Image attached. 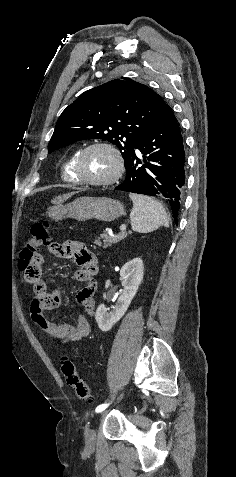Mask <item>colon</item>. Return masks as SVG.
<instances>
[{
    "label": "colon",
    "mask_w": 236,
    "mask_h": 477,
    "mask_svg": "<svg viewBox=\"0 0 236 477\" xmlns=\"http://www.w3.org/2000/svg\"><path fill=\"white\" fill-rule=\"evenodd\" d=\"M50 243L48 222H37L32 225L30 237L20 253L19 268L23 271L26 280L32 285L35 293L42 289L40 285L42 281V254L40 248ZM60 364L67 384L75 390L78 398L83 401H91L93 399L92 391L71 358L67 355L63 356Z\"/></svg>",
    "instance_id": "obj_1"
}]
</instances>
